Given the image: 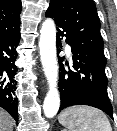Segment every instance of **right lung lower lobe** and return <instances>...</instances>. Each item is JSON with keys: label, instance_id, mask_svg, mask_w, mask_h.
<instances>
[{"label": "right lung lower lobe", "instance_id": "obj_1", "mask_svg": "<svg viewBox=\"0 0 117 131\" xmlns=\"http://www.w3.org/2000/svg\"><path fill=\"white\" fill-rule=\"evenodd\" d=\"M20 41V31L12 36L0 40V107L18 121L17 98L15 96L17 72L15 61L16 47Z\"/></svg>", "mask_w": 117, "mask_h": 131}]
</instances>
